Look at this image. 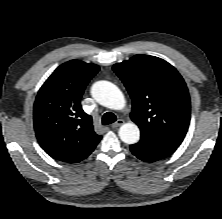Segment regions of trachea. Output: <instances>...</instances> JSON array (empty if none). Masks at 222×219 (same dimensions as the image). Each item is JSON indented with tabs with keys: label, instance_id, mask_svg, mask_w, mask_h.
Listing matches in <instances>:
<instances>
[{
	"label": "trachea",
	"instance_id": "trachea-1",
	"mask_svg": "<svg viewBox=\"0 0 222 219\" xmlns=\"http://www.w3.org/2000/svg\"><path fill=\"white\" fill-rule=\"evenodd\" d=\"M116 121V116L114 113L112 112H106L103 116H102V124L103 125H109L112 124Z\"/></svg>",
	"mask_w": 222,
	"mask_h": 219
}]
</instances>
